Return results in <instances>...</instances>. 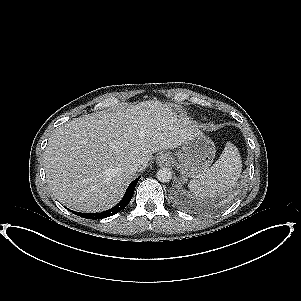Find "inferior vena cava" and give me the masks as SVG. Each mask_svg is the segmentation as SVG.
<instances>
[{
	"instance_id": "1",
	"label": "inferior vena cava",
	"mask_w": 301,
	"mask_h": 301,
	"mask_svg": "<svg viewBox=\"0 0 301 301\" xmlns=\"http://www.w3.org/2000/svg\"><path fill=\"white\" fill-rule=\"evenodd\" d=\"M145 164L144 163H133L130 165L129 169L132 173H136L139 171H142L145 168Z\"/></svg>"
}]
</instances>
